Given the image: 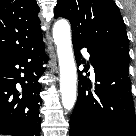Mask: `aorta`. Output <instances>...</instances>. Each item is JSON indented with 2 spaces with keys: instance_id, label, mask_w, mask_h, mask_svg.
<instances>
[{
  "instance_id": "aorta-1",
  "label": "aorta",
  "mask_w": 136,
  "mask_h": 136,
  "mask_svg": "<svg viewBox=\"0 0 136 136\" xmlns=\"http://www.w3.org/2000/svg\"><path fill=\"white\" fill-rule=\"evenodd\" d=\"M53 38L57 46L60 66V91L62 105L71 110L76 101L77 72L72 51L70 24L65 19L58 20L53 27Z\"/></svg>"
}]
</instances>
